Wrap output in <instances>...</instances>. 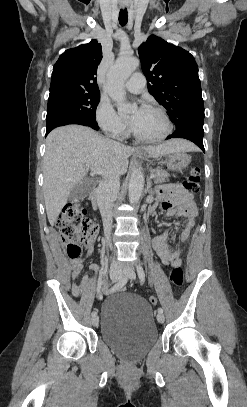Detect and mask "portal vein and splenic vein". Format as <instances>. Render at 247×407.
<instances>
[{
	"label": "portal vein and splenic vein",
	"mask_w": 247,
	"mask_h": 407,
	"mask_svg": "<svg viewBox=\"0 0 247 407\" xmlns=\"http://www.w3.org/2000/svg\"><path fill=\"white\" fill-rule=\"evenodd\" d=\"M92 174H99V175H103V176H108L109 173L107 171H105L104 169H91ZM155 174H151L150 175V179L154 178Z\"/></svg>",
	"instance_id": "portal-vein-and-splenic-vein-1"
}]
</instances>
